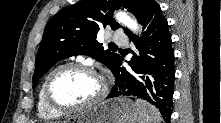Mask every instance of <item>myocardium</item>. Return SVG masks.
I'll return each instance as SVG.
<instances>
[{"label": "myocardium", "mask_w": 221, "mask_h": 123, "mask_svg": "<svg viewBox=\"0 0 221 123\" xmlns=\"http://www.w3.org/2000/svg\"><path fill=\"white\" fill-rule=\"evenodd\" d=\"M71 68L85 70L99 77L101 81V90L99 94L93 100L86 102V103H82V104L65 105V104L58 102L54 98V96L52 95L51 87H52V82L55 76L59 72L66 70V69H71ZM107 94H108V85H107L105 78L92 65L84 63V62H79V61L66 62L55 67L47 75L45 82H44V97H45L47 104L52 109L61 113L78 112V111L92 109L98 106L99 104H101L106 98Z\"/></svg>", "instance_id": "obj_1"}]
</instances>
